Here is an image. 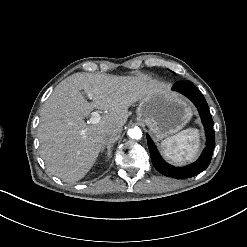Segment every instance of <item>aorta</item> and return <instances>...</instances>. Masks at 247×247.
Returning a JSON list of instances; mask_svg holds the SVG:
<instances>
[{"instance_id":"aorta-1","label":"aorta","mask_w":247,"mask_h":247,"mask_svg":"<svg viewBox=\"0 0 247 247\" xmlns=\"http://www.w3.org/2000/svg\"><path fill=\"white\" fill-rule=\"evenodd\" d=\"M127 134L132 139H140L142 137V131L139 127L129 129Z\"/></svg>"}]
</instances>
